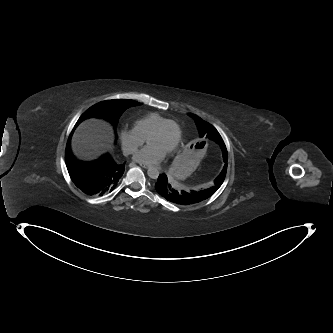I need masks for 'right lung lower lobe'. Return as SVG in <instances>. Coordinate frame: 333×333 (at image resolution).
Wrapping results in <instances>:
<instances>
[{
  "label": "right lung lower lobe",
  "mask_w": 333,
  "mask_h": 333,
  "mask_svg": "<svg viewBox=\"0 0 333 333\" xmlns=\"http://www.w3.org/2000/svg\"><path fill=\"white\" fill-rule=\"evenodd\" d=\"M66 166L73 183L87 195H104L113 191L124 173V163L114 161L108 154L94 162H80L66 148Z\"/></svg>",
  "instance_id": "1"
}]
</instances>
